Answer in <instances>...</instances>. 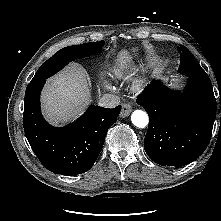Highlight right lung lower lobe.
<instances>
[{
    "label": "right lung lower lobe",
    "instance_id": "98d812e1",
    "mask_svg": "<svg viewBox=\"0 0 221 221\" xmlns=\"http://www.w3.org/2000/svg\"><path fill=\"white\" fill-rule=\"evenodd\" d=\"M44 80L28 84L24 99L23 125L27 140L50 171L77 175L88 171L100 154L108 129L116 122L121 106L114 109L91 106L78 120L53 127L40 110Z\"/></svg>",
    "mask_w": 221,
    "mask_h": 221
}]
</instances>
